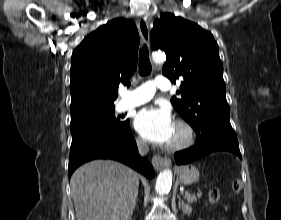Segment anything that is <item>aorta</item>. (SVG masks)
<instances>
[{"mask_svg":"<svg viewBox=\"0 0 281 220\" xmlns=\"http://www.w3.org/2000/svg\"><path fill=\"white\" fill-rule=\"evenodd\" d=\"M152 59L155 63H162L166 59L165 55L161 52L153 53ZM172 185V172L169 169H165L161 172L157 178L155 184V190L159 195L167 194Z\"/></svg>","mask_w":281,"mask_h":220,"instance_id":"obj_1","label":"aorta"}]
</instances>
